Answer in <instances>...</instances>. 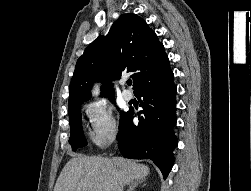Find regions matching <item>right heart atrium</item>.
<instances>
[{
    "label": "right heart atrium",
    "instance_id": "d8ad5b80",
    "mask_svg": "<svg viewBox=\"0 0 251 191\" xmlns=\"http://www.w3.org/2000/svg\"><path fill=\"white\" fill-rule=\"evenodd\" d=\"M83 112L93 146L103 149L111 144L118 134L113 110L103 101H91L84 106Z\"/></svg>",
    "mask_w": 251,
    "mask_h": 191
}]
</instances>
